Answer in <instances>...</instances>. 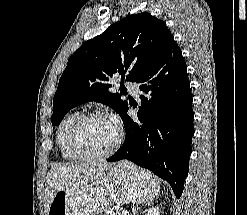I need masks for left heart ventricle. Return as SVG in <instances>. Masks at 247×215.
I'll use <instances>...</instances> for the list:
<instances>
[{
  "label": "left heart ventricle",
  "instance_id": "b2bd125f",
  "mask_svg": "<svg viewBox=\"0 0 247 215\" xmlns=\"http://www.w3.org/2000/svg\"><path fill=\"white\" fill-rule=\"evenodd\" d=\"M117 130L108 119H92L83 124L79 139L82 148L89 153H102L114 143Z\"/></svg>",
  "mask_w": 247,
  "mask_h": 215
}]
</instances>
